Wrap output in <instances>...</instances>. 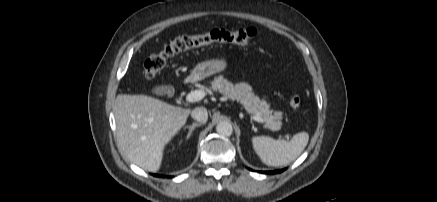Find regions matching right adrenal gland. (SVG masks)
Wrapping results in <instances>:
<instances>
[{
	"instance_id": "1",
	"label": "right adrenal gland",
	"mask_w": 437,
	"mask_h": 202,
	"mask_svg": "<svg viewBox=\"0 0 437 202\" xmlns=\"http://www.w3.org/2000/svg\"><path fill=\"white\" fill-rule=\"evenodd\" d=\"M198 126H201V123H197V122H196V123H193V124L190 125V126H186V127H185V128H188V129H189L188 134H187V137H186V140L189 139V137L191 136L193 130H194L196 127H198Z\"/></svg>"
}]
</instances>
